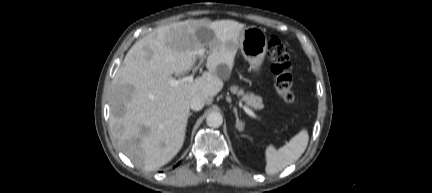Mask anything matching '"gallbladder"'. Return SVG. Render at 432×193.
<instances>
[{
    "mask_svg": "<svg viewBox=\"0 0 432 193\" xmlns=\"http://www.w3.org/2000/svg\"><path fill=\"white\" fill-rule=\"evenodd\" d=\"M202 41V40H201ZM122 113V109H119V112H118V114H121Z\"/></svg>",
    "mask_w": 432,
    "mask_h": 193,
    "instance_id": "gallbladder-1",
    "label": "gallbladder"
}]
</instances>
